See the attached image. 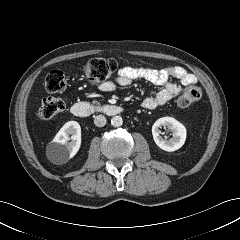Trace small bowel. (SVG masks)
<instances>
[{"label": "small bowel", "instance_id": "1", "mask_svg": "<svg viewBox=\"0 0 240 240\" xmlns=\"http://www.w3.org/2000/svg\"><path fill=\"white\" fill-rule=\"evenodd\" d=\"M171 78L178 79L180 84L170 81ZM138 79L161 87L156 95L146 97L142 101V107L147 110L165 105L180 95L182 91L181 86L188 87L195 85L197 82V77L181 66H168L162 69L126 66L118 71L113 81L102 83L100 90L103 92H112L118 87L129 86L133 81Z\"/></svg>", "mask_w": 240, "mask_h": 240}]
</instances>
